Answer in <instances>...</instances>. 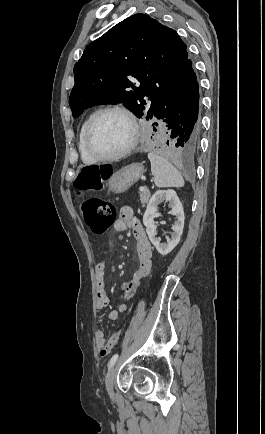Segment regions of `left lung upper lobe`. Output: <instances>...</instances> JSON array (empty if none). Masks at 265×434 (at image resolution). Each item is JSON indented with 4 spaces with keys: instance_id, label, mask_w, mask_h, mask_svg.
Wrapping results in <instances>:
<instances>
[{
    "instance_id": "obj_1",
    "label": "left lung upper lobe",
    "mask_w": 265,
    "mask_h": 434,
    "mask_svg": "<svg viewBox=\"0 0 265 434\" xmlns=\"http://www.w3.org/2000/svg\"><path fill=\"white\" fill-rule=\"evenodd\" d=\"M188 59L185 43L172 28L141 13L124 19L88 45L75 64L69 98L73 117L94 105L122 103L140 118L149 97L146 119L152 118Z\"/></svg>"
}]
</instances>
